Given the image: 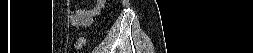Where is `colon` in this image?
Segmentation results:
<instances>
[{"instance_id": "1", "label": "colon", "mask_w": 253, "mask_h": 53, "mask_svg": "<svg viewBox=\"0 0 253 53\" xmlns=\"http://www.w3.org/2000/svg\"><path fill=\"white\" fill-rule=\"evenodd\" d=\"M86 45V39L83 36L78 37L75 41L74 48L76 50H81Z\"/></svg>"}]
</instances>
